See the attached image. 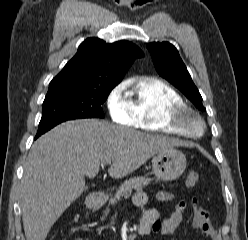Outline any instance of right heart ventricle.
<instances>
[{
    "instance_id": "right-heart-ventricle-1",
    "label": "right heart ventricle",
    "mask_w": 248,
    "mask_h": 240,
    "mask_svg": "<svg viewBox=\"0 0 248 240\" xmlns=\"http://www.w3.org/2000/svg\"><path fill=\"white\" fill-rule=\"evenodd\" d=\"M130 102L134 127L151 132L177 133L165 123V112L170 106L184 101L168 83L157 78L141 79L135 85Z\"/></svg>"
}]
</instances>
